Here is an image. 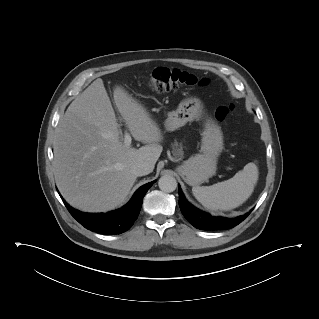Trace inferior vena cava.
<instances>
[{
    "mask_svg": "<svg viewBox=\"0 0 319 319\" xmlns=\"http://www.w3.org/2000/svg\"><path fill=\"white\" fill-rule=\"evenodd\" d=\"M151 166L147 162H137L131 166V172L135 176H144L151 172Z\"/></svg>",
    "mask_w": 319,
    "mask_h": 319,
    "instance_id": "602c4592",
    "label": "inferior vena cava"
}]
</instances>
